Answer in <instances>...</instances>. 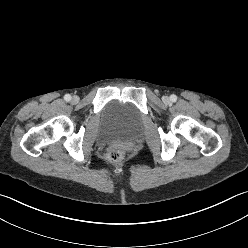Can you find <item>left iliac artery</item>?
I'll return each mask as SVG.
<instances>
[{
  "label": "left iliac artery",
  "instance_id": "obj_1",
  "mask_svg": "<svg viewBox=\"0 0 248 248\" xmlns=\"http://www.w3.org/2000/svg\"><path fill=\"white\" fill-rule=\"evenodd\" d=\"M170 100H171L172 102H176L177 96L174 95V94H172V95L170 96Z\"/></svg>",
  "mask_w": 248,
  "mask_h": 248
}]
</instances>
